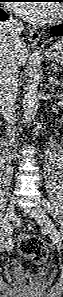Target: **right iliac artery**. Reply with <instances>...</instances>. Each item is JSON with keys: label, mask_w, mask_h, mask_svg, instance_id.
I'll return each instance as SVG.
<instances>
[{"label": "right iliac artery", "mask_w": 63, "mask_h": 297, "mask_svg": "<svg viewBox=\"0 0 63 297\" xmlns=\"http://www.w3.org/2000/svg\"><path fill=\"white\" fill-rule=\"evenodd\" d=\"M13 232V227L11 225L7 226L5 229L1 230V234H7L8 236L11 235ZM2 241V240H1Z\"/></svg>", "instance_id": "82829eb1"}]
</instances>
